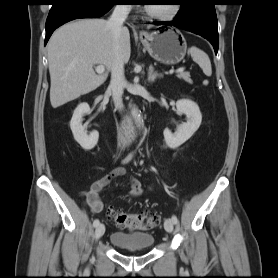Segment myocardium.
I'll return each mask as SVG.
<instances>
[{
	"mask_svg": "<svg viewBox=\"0 0 278 278\" xmlns=\"http://www.w3.org/2000/svg\"><path fill=\"white\" fill-rule=\"evenodd\" d=\"M181 10V6L178 3L172 4V8L169 12L167 13H157L152 11L149 6L145 7V13L147 14L148 17L159 20V21H170L173 20L177 15L179 14Z\"/></svg>",
	"mask_w": 278,
	"mask_h": 278,
	"instance_id": "myocardium-1",
	"label": "myocardium"
}]
</instances>
